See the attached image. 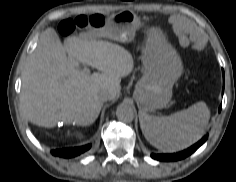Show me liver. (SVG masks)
I'll return each mask as SVG.
<instances>
[{
  "instance_id": "1",
  "label": "liver",
  "mask_w": 236,
  "mask_h": 182,
  "mask_svg": "<svg viewBox=\"0 0 236 182\" xmlns=\"http://www.w3.org/2000/svg\"><path fill=\"white\" fill-rule=\"evenodd\" d=\"M78 62L100 71L77 69ZM134 67L132 55L122 46L80 34L61 43L54 29L45 30L22 73L21 108L35 125L52 128L59 121L88 126L97 119L108 90L114 99L121 77Z\"/></svg>"
}]
</instances>
